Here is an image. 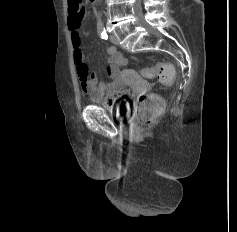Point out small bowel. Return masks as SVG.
I'll return each mask as SVG.
<instances>
[{
  "label": "small bowel",
  "mask_w": 237,
  "mask_h": 232,
  "mask_svg": "<svg viewBox=\"0 0 237 232\" xmlns=\"http://www.w3.org/2000/svg\"><path fill=\"white\" fill-rule=\"evenodd\" d=\"M83 17L73 16L72 14H69L68 17V27L73 45V59L80 77L81 88L93 101H104L107 104H112L120 98L125 89L121 67L125 65L126 60L115 46H109L106 49L108 55L106 74L110 80L106 82L98 81L94 75H90L85 63L80 33Z\"/></svg>",
  "instance_id": "small-bowel-1"
}]
</instances>
